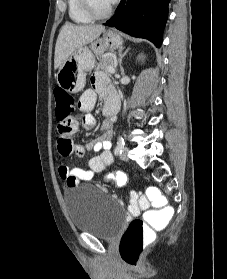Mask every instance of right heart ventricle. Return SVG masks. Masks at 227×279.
Instances as JSON below:
<instances>
[{
	"label": "right heart ventricle",
	"mask_w": 227,
	"mask_h": 279,
	"mask_svg": "<svg viewBox=\"0 0 227 279\" xmlns=\"http://www.w3.org/2000/svg\"><path fill=\"white\" fill-rule=\"evenodd\" d=\"M69 18L77 24H88L92 19L84 12L79 0H67Z\"/></svg>",
	"instance_id": "e07e8e85"
}]
</instances>
